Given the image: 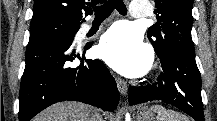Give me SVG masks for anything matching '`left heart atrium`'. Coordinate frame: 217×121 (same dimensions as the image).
<instances>
[{
    "label": "left heart atrium",
    "mask_w": 217,
    "mask_h": 121,
    "mask_svg": "<svg viewBox=\"0 0 217 121\" xmlns=\"http://www.w3.org/2000/svg\"><path fill=\"white\" fill-rule=\"evenodd\" d=\"M99 53L113 69L131 77L144 74L151 63L139 32L128 24L111 27L100 40Z\"/></svg>",
    "instance_id": "left-heart-atrium-1"
}]
</instances>
